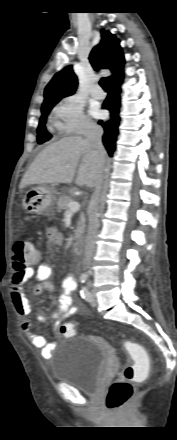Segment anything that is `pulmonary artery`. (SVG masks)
Segmentation results:
<instances>
[{"mask_svg":"<svg viewBox=\"0 0 177 440\" xmlns=\"http://www.w3.org/2000/svg\"><path fill=\"white\" fill-rule=\"evenodd\" d=\"M91 95L95 99H102L104 97V93L99 87H96L95 89H93L91 91Z\"/></svg>","mask_w":177,"mask_h":440,"instance_id":"1","label":"pulmonary artery"}]
</instances>
